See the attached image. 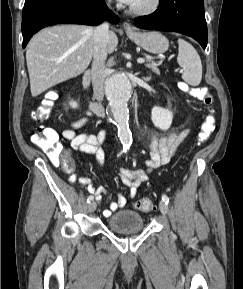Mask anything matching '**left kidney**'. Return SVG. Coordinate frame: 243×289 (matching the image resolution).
<instances>
[{"instance_id": "obj_1", "label": "left kidney", "mask_w": 243, "mask_h": 289, "mask_svg": "<svg viewBox=\"0 0 243 289\" xmlns=\"http://www.w3.org/2000/svg\"><path fill=\"white\" fill-rule=\"evenodd\" d=\"M151 119L155 127L168 130L172 124L173 113L169 108L154 107L151 111Z\"/></svg>"}]
</instances>
